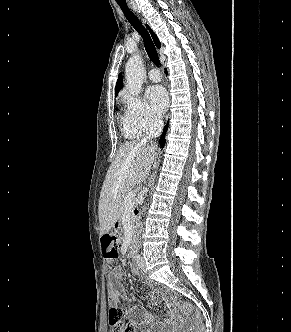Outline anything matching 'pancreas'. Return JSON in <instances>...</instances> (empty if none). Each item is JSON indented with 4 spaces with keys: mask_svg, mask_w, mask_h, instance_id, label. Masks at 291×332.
Here are the masks:
<instances>
[{
    "mask_svg": "<svg viewBox=\"0 0 291 332\" xmlns=\"http://www.w3.org/2000/svg\"><path fill=\"white\" fill-rule=\"evenodd\" d=\"M126 195L125 194L122 198V202H121V215L124 214L125 210L127 209V205L125 204V198H126Z\"/></svg>",
    "mask_w": 291,
    "mask_h": 332,
    "instance_id": "1",
    "label": "pancreas"
}]
</instances>
